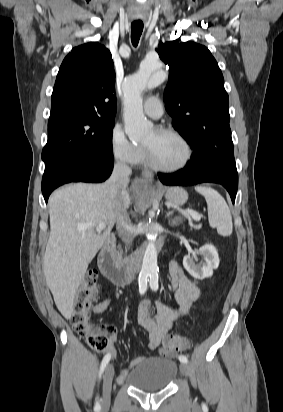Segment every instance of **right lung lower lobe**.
<instances>
[{
  "label": "right lung lower lobe",
  "instance_id": "98d812e1",
  "mask_svg": "<svg viewBox=\"0 0 283 412\" xmlns=\"http://www.w3.org/2000/svg\"><path fill=\"white\" fill-rule=\"evenodd\" d=\"M113 168V159L103 157L61 156L45 162L42 193L48 201L51 192L69 182H102Z\"/></svg>",
  "mask_w": 283,
  "mask_h": 412
}]
</instances>
